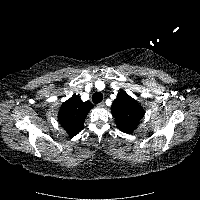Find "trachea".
I'll return each mask as SVG.
<instances>
[{
	"mask_svg": "<svg viewBox=\"0 0 200 200\" xmlns=\"http://www.w3.org/2000/svg\"><path fill=\"white\" fill-rule=\"evenodd\" d=\"M102 100H103V94H102L101 92H95V93L92 95V101H93L95 104L100 103Z\"/></svg>",
	"mask_w": 200,
	"mask_h": 200,
	"instance_id": "1",
	"label": "trachea"
}]
</instances>
